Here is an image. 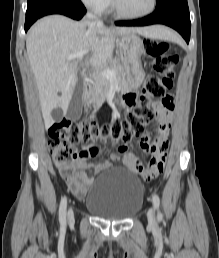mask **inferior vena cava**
<instances>
[{"label":"inferior vena cava","instance_id":"602c4592","mask_svg":"<svg viewBox=\"0 0 219 258\" xmlns=\"http://www.w3.org/2000/svg\"><path fill=\"white\" fill-rule=\"evenodd\" d=\"M86 18L89 19V20H92V21L94 20L97 25H101V26L103 25V22L100 21V20H98V19H97L93 14H91V13H87Z\"/></svg>","mask_w":219,"mask_h":258}]
</instances>
